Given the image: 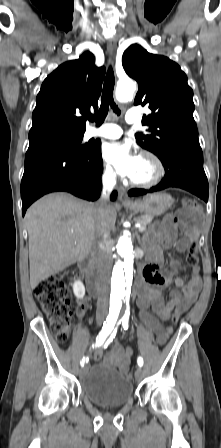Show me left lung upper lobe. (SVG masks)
I'll list each match as a JSON object with an SVG mask.
<instances>
[{
  "label": "left lung upper lobe",
  "mask_w": 221,
  "mask_h": 448,
  "mask_svg": "<svg viewBox=\"0 0 221 448\" xmlns=\"http://www.w3.org/2000/svg\"><path fill=\"white\" fill-rule=\"evenodd\" d=\"M122 64L139 84L134 104L147 105L152 111L143 117L149 129L136 134L138 145L160 159L177 149H201L193 118V91L179 65L137 44L124 52Z\"/></svg>",
  "instance_id": "5c2ea615"
}]
</instances>
